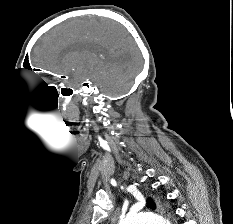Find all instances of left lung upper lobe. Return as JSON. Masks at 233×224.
Wrapping results in <instances>:
<instances>
[{
    "mask_svg": "<svg viewBox=\"0 0 233 224\" xmlns=\"http://www.w3.org/2000/svg\"><path fill=\"white\" fill-rule=\"evenodd\" d=\"M147 207L151 208V209H155V207H156L153 200L150 198L147 200Z\"/></svg>",
    "mask_w": 233,
    "mask_h": 224,
    "instance_id": "5c2ea615",
    "label": "left lung upper lobe"
}]
</instances>
